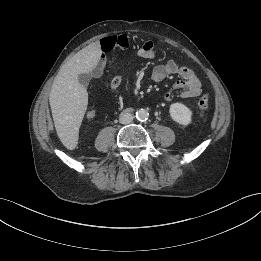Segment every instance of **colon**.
Returning <instances> with one entry per match:
<instances>
[{
  "mask_svg": "<svg viewBox=\"0 0 261 261\" xmlns=\"http://www.w3.org/2000/svg\"><path fill=\"white\" fill-rule=\"evenodd\" d=\"M209 106V94L204 93L198 101V112L200 115H204Z\"/></svg>",
  "mask_w": 261,
  "mask_h": 261,
  "instance_id": "1",
  "label": "colon"
}]
</instances>
